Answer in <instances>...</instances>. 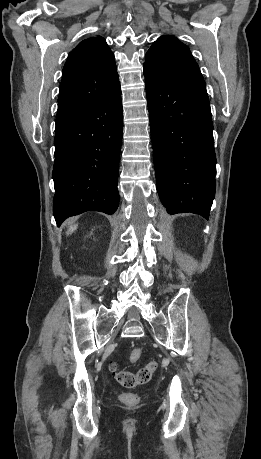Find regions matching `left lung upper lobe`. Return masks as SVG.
<instances>
[{"instance_id":"obj_1","label":"left lung upper lobe","mask_w":261,"mask_h":459,"mask_svg":"<svg viewBox=\"0 0 261 459\" xmlns=\"http://www.w3.org/2000/svg\"><path fill=\"white\" fill-rule=\"evenodd\" d=\"M144 67L176 80L205 82L189 48L169 35L160 37L150 47Z\"/></svg>"}]
</instances>
